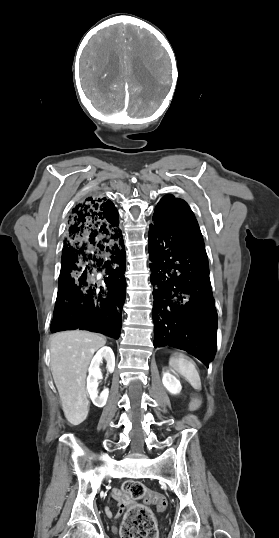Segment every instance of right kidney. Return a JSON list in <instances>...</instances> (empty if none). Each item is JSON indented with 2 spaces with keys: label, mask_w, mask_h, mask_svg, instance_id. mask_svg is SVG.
I'll use <instances>...</instances> for the list:
<instances>
[{
  "label": "right kidney",
  "mask_w": 279,
  "mask_h": 538,
  "mask_svg": "<svg viewBox=\"0 0 279 538\" xmlns=\"http://www.w3.org/2000/svg\"><path fill=\"white\" fill-rule=\"evenodd\" d=\"M102 360H106L107 372H110V374H112L115 368V356L111 348H108V346H104V348H101V350H98L97 354H95L90 364L89 376L87 378L88 394L94 406H97V408H103L109 396L108 388H105V390L101 392L100 396H98V392H97L98 380H102V374L99 368Z\"/></svg>",
  "instance_id": "ca27d5eb"
}]
</instances>
